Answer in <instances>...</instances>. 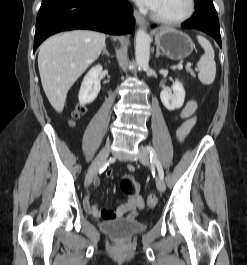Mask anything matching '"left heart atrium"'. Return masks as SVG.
<instances>
[{
	"label": "left heart atrium",
	"instance_id": "1",
	"mask_svg": "<svg viewBox=\"0 0 247 265\" xmlns=\"http://www.w3.org/2000/svg\"><path fill=\"white\" fill-rule=\"evenodd\" d=\"M138 5L145 7V8H149V9H153L157 0H134Z\"/></svg>",
	"mask_w": 247,
	"mask_h": 265
}]
</instances>
